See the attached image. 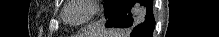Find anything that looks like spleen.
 Here are the masks:
<instances>
[{
	"mask_svg": "<svg viewBox=\"0 0 219 37\" xmlns=\"http://www.w3.org/2000/svg\"><path fill=\"white\" fill-rule=\"evenodd\" d=\"M127 33H128L127 30L112 29V30L109 31L107 37H128Z\"/></svg>",
	"mask_w": 219,
	"mask_h": 37,
	"instance_id": "obj_1",
	"label": "spleen"
}]
</instances>
